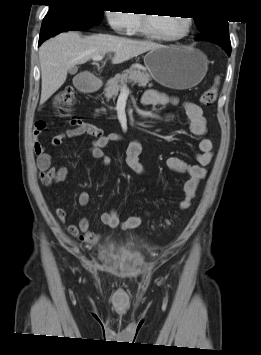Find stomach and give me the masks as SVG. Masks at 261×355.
Returning a JSON list of instances; mask_svg holds the SVG:
<instances>
[{
    "mask_svg": "<svg viewBox=\"0 0 261 355\" xmlns=\"http://www.w3.org/2000/svg\"><path fill=\"white\" fill-rule=\"evenodd\" d=\"M150 75L161 85L183 90L202 81L208 69L207 57L190 46H162L150 50L144 57ZM90 88L98 86L96 80Z\"/></svg>",
    "mask_w": 261,
    "mask_h": 355,
    "instance_id": "0dacf381",
    "label": "stomach"
}]
</instances>
